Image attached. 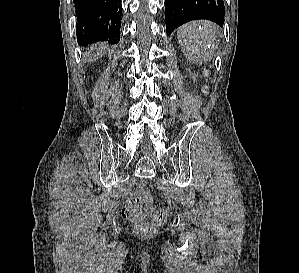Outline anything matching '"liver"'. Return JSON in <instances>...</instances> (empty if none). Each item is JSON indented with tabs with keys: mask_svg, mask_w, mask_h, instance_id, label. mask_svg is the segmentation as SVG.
Wrapping results in <instances>:
<instances>
[{
	"mask_svg": "<svg viewBox=\"0 0 299 273\" xmlns=\"http://www.w3.org/2000/svg\"><path fill=\"white\" fill-rule=\"evenodd\" d=\"M104 50H105V47L104 46H100L97 49V53L90 58V61H93V60L97 59L98 57H102Z\"/></svg>",
	"mask_w": 299,
	"mask_h": 273,
	"instance_id": "6515ba94",
	"label": "liver"
}]
</instances>
